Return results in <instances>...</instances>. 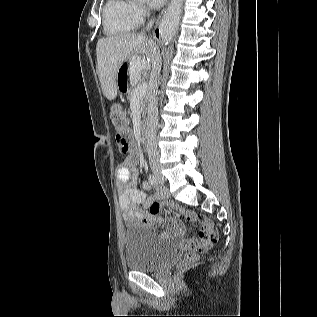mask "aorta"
<instances>
[{
    "mask_svg": "<svg viewBox=\"0 0 317 317\" xmlns=\"http://www.w3.org/2000/svg\"><path fill=\"white\" fill-rule=\"evenodd\" d=\"M134 1L142 2L144 0H134ZM177 23H178L177 18L174 16L171 17L170 14H168L162 21V24L160 27L161 33L165 35L173 34L177 28Z\"/></svg>",
    "mask_w": 317,
    "mask_h": 317,
    "instance_id": "762f6f07",
    "label": "aorta"
}]
</instances>
